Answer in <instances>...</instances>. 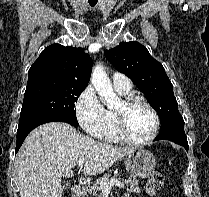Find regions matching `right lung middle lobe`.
I'll list each match as a JSON object with an SVG mask.
<instances>
[{
    "label": "right lung middle lobe",
    "instance_id": "1",
    "mask_svg": "<svg viewBox=\"0 0 209 197\" xmlns=\"http://www.w3.org/2000/svg\"><path fill=\"white\" fill-rule=\"evenodd\" d=\"M85 88L86 85L73 82H28L19 126L47 117L65 118L78 124L75 103Z\"/></svg>",
    "mask_w": 209,
    "mask_h": 197
}]
</instances>
